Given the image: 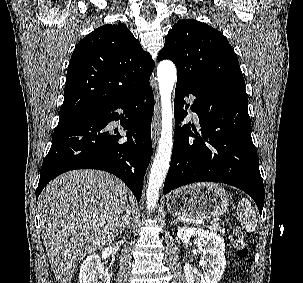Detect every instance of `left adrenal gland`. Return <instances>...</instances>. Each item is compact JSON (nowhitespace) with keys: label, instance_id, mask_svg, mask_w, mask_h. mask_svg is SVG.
<instances>
[{"label":"left adrenal gland","instance_id":"obj_1","mask_svg":"<svg viewBox=\"0 0 303 283\" xmlns=\"http://www.w3.org/2000/svg\"><path fill=\"white\" fill-rule=\"evenodd\" d=\"M179 220L177 218H174L172 224H175L176 222H178Z\"/></svg>","mask_w":303,"mask_h":283}]
</instances>
